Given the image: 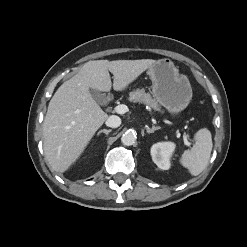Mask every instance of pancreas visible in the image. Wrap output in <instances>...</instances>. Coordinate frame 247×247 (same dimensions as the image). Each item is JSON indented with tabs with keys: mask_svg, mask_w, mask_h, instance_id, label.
Masks as SVG:
<instances>
[{
	"mask_svg": "<svg viewBox=\"0 0 247 247\" xmlns=\"http://www.w3.org/2000/svg\"><path fill=\"white\" fill-rule=\"evenodd\" d=\"M129 100L131 102H138L141 104L148 105L156 111H161L158 102L152 98L149 93H146L144 89H136L129 94Z\"/></svg>",
	"mask_w": 247,
	"mask_h": 247,
	"instance_id": "cf45deb5",
	"label": "pancreas"
}]
</instances>
